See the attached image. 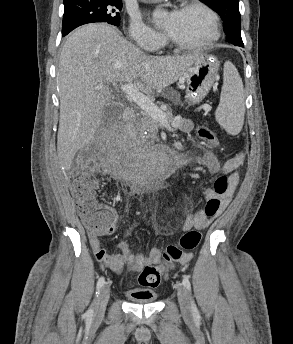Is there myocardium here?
Masks as SVG:
<instances>
[{
  "instance_id": "f54148a6",
  "label": "myocardium",
  "mask_w": 293,
  "mask_h": 344,
  "mask_svg": "<svg viewBox=\"0 0 293 344\" xmlns=\"http://www.w3.org/2000/svg\"><path fill=\"white\" fill-rule=\"evenodd\" d=\"M191 9H200L208 15L211 21V34L206 40L202 42H198V43L181 42V41L175 40L174 38L166 34L167 43L175 49L184 50V51L203 50L214 45L220 38V35H221L220 21H219L218 14L215 12V10L201 1L191 0L189 2L182 4L180 7H178L176 12H183V11H187Z\"/></svg>"
}]
</instances>
